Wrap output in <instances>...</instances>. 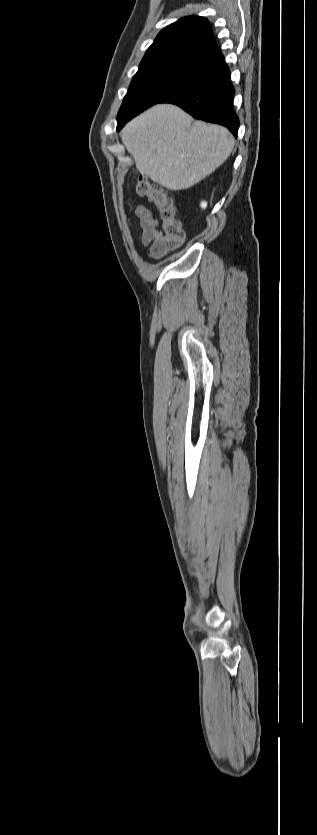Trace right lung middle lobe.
I'll return each mask as SVG.
<instances>
[{"label": "right lung middle lobe", "mask_w": 317, "mask_h": 835, "mask_svg": "<svg viewBox=\"0 0 317 835\" xmlns=\"http://www.w3.org/2000/svg\"><path fill=\"white\" fill-rule=\"evenodd\" d=\"M206 80L191 59L139 70L132 79L117 117V130L150 106Z\"/></svg>", "instance_id": "obj_1"}]
</instances>
